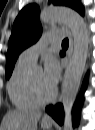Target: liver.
<instances>
[{"mask_svg":"<svg viewBox=\"0 0 95 130\" xmlns=\"http://www.w3.org/2000/svg\"><path fill=\"white\" fill-rule=\"evenodd\" d=\"M41 116L39 111H9L3 118L2 130H37Z\"/></svg>","mask_w":95,"mask_h":130,"instance_id":"obj_1","label":"liver"}]
</instances>
